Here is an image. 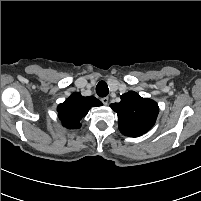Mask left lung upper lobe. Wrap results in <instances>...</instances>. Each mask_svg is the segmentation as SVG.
<instances>
[{
    "label": "left lung upper lobe",
    "mask_w": 201,
    "mask_h": 201,
    "mask_svg": "<svg viewBox=\"0 0 201 201\" xmlns=\"http://www.w3.org/2000/svg\"><path fill=\"white\" fill-rule=\"evenodd\" d=\"M110 107L118 115L120 132L129 137H138L149 131L159 113L155 101L142 98L134 91L123 94L121 101L111 104Z\"/></svg>",
    "instance_id": "left-lung-upper-lobe-1"
}]
</instances>
